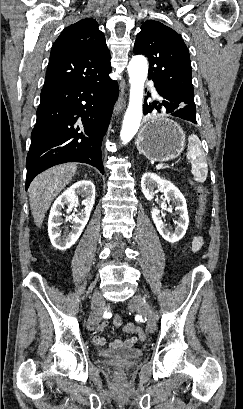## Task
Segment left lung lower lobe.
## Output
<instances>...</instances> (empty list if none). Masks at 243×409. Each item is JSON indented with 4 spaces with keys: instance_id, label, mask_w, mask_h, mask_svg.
I'll use <instances>...</instances> for the list:
<instances>
[{
    "instance_id": "obj_1",
    "label": "left lung lower lobe",
    "mask_w": 243,
    "mask_h": 409,
    "mask_svg": "<svg viewBox=\"0 0 243 409\" xmlns=\"http://www.w3.org/2000/svg\"><path fill=\"white\" fill-rule=\"evenodd\" d=\"M155 87L162 99L160 102L155 101L149 105L145 103V105H143L144 114H148L156 109L158 112L170 113L173 116L191 121L195 124L197 123L195 116L196 106L192 98L156 84Z\"/></svg>"
}]
</instances>
